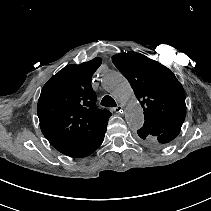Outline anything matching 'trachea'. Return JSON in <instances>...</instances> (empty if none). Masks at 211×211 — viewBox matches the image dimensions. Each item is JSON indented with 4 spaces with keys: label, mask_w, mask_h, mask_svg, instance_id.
Masks as SVG:
<instances>
[{
    "label": "trachea",
    "mask_w": 211,
    "mask_h": 211,
    "mask_svg": "<svg viewBox=\"0 0 211 211\" xmlns=\"http://www.w3.org/2000/svg\"><path fill=\"white\" fill-rule=\"evenodd\" d=\"M101 105L105 107H115L117 104L111 96L106 95L103 97Z\"/></svg>",
    "instance_id": "3493384b"
}]
</instances>
